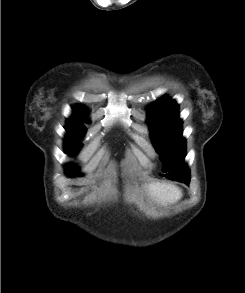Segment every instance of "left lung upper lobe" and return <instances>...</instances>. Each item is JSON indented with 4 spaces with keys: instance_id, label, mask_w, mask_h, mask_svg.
I'll use <instances>...</instances> for the list:
<instances>
[{
    "instance_id": "left-lung-upper-lobe-1",
    "label": "left lung upper lobe",
    "mask_w": 245,
    "mask_h": 293,
    "mask_svg": "<svg viewBox=\"0 0 245 293\" xmlns=\"http://www.w3.org/2000/svg\"><path fill=\"white\" fill-rule=\"evenodd\" d=\"M147 114L153 145L166 164L164 172L168 173L165 176L175 181L190 177L183 164L186 141L182 137V121L175 101L162 97L149 106Z\"/></svg>"
}]
</instances>
